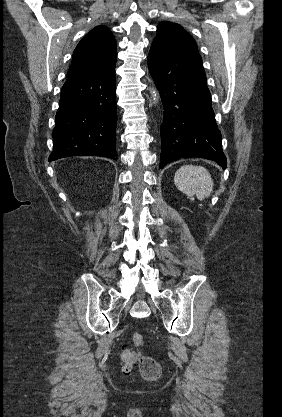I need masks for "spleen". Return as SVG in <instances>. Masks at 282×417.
Here are the masks:
<instances>
[{
  "label": "spleen",
  "instance_id": "obj_1",
  "mask_svg": "<svg viewBox=\"0 0 282 417\" xmlns=\"http://www.w3.org/2000/svg\"><path fill=\"white\" fill-rule=\"evenodd\" d=\"M174 182L187 196L196 194L199 200H204L205 196H210L213 188L211 174L204 166H194V164H184L175 172Z\"/></svg>",
  "mask_w": 282,
  "mask_h": 417
}]
</instances>
